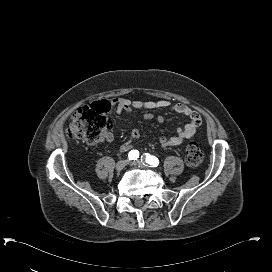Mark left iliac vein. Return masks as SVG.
I'll list each match as a JSON object with an SVG mask.
<instances>
[{
    "mask_svg": "<svg viewBox=\"0 0 272 272\" xmlns=\"http://www.w3.org/2000/svg\"><path fill=\"white\" fill-rule=\"evenodd\" d=\"M130 164L134 165V166H143V167H147L148 164L145 163L144 161L142 160H136V161H132L130 162Z\"/></svg>",
    "mask_w": 272,
    "mask_h": 272,
    "instance_id": "obj_1",
    "label": "left iliac vein"
}]
</instances>
